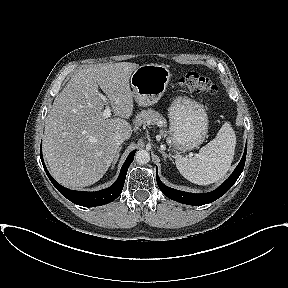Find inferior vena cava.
<instances>
[{"instance_id":"inferior-vena-cava-1","label":"inferior vena cava","mask_w":288,"mask_h":288,"mask_svg":"<svg viewBox=\"0 0 288 288\" xmlns=\"http://www.w3.org/2000/svg\"><path fill=\"white\" fill-rule=\"evenodd\" d=\"M114 140L117 144H122L125 141V138L122 135H116L114 137Z\"/></svg>"}]
</instances>
